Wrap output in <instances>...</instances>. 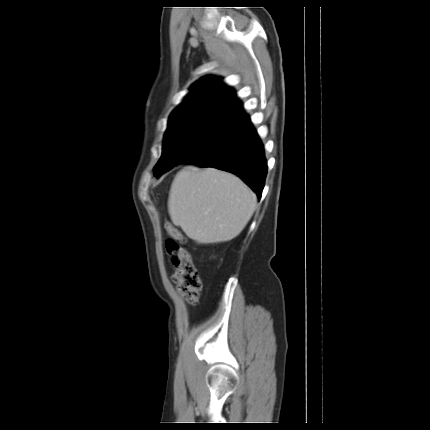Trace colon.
<instances>
[{"label": "colon", "mask_w": 430, "mask_h": 430, "mask_svg": "<svg viewBox=\"0 0 430 430\" xmlns=\"http://www.w3.org/2000/svg\"><path fill=\"white\" fill-rule=\"evenodd\" d=\"M166 230L170 235L165 242V248L174 268L172 279L184 293L186 299L191 304H195L199 300L202 283L192 256L182 245L185 241L182 233L170 224L166 225Z\"/></svg>", "instance_id": "obj_1"}]
</instances>
